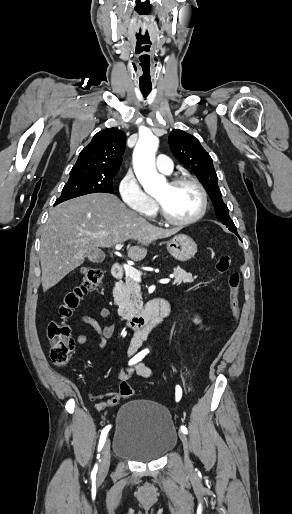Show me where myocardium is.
Instances as JSON below:
<instances>
[{
    "instance_id": "obj_1",
    "label": "myocardium",
    "mask_w": 292,
    "mask_h": 514,
    "mask_svg": "<svg viewBox=\"0 0 292 514\" xmlns=\"http://www.w3.org/2000/svg\"><path fill=\"white\" fill-rule=\"evenodd\" d=\"M185 184L191 185L198 192L199 200H200L199 208H198L197 212L190 218L184 219V220H178V219H174V218L170 217L166 213V211L164 210L162 205L157 200H155V205H156L157 211L159 212L162 219L169 224L176 225V226H186V225L192 224V223L196 222L197 220H199L205 213L206 206H207V196H206V192H205L203 186L197 180H195L193 178H189V177H177V178L173 179L172 181H170L168 183V186L169 187H177V186L185 185Z\"/></svg>"
}]
</instances>
